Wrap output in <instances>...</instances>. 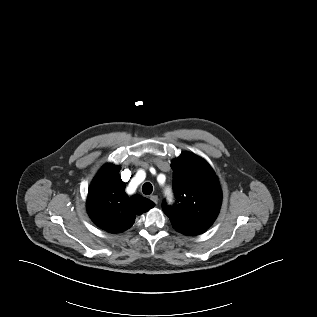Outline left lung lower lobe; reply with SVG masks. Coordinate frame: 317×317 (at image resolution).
I'll return each instance as SVG.
<instances>
[{
	"instance_id": "left-lung-lower-lobe-1",
	"label": "left lung lower lobe",
	"mask_w": 317,
	"mask_h": 317,
	"mask_svg": "<svg viewBox=\"0 0 317 317\" xmlns=\"http://www.w3.org/2000/svg\"><path fill=\"white\" fill-rule=\"evenodd\" d=\"M178 231L185 234V235H190V236L198 235V234L204 232V231H200V230L188 228V227H180V228H178Z\"/></svg>"
}]
</instances>
